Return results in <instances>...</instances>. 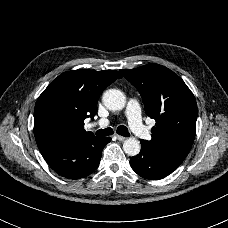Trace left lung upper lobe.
Listing matches in <instances>:
<instances>
[{
    "instance_id": "left-lung-upper-lobe-1",
    "label": "left lung upper lobe",
    "mask_w": 228,
    "mask_h": 228,
    "mask_svg": "<svg viewBox=\"0 0 228 228\" xmlns=\"http://www.w3.org/2000/svg\"><path fill=\"white\" fill-rule=\"evenodd\" d=\"M120 71L138 89L147 115L156 121L152 139L141 141L156 152L186 157L195 137L197 104L184 81L153 63Z\"/></svg>"
}]
</instances>
